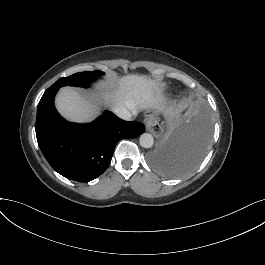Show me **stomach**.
<instances>
[{
	"label": "stomach",
	"instance_id": "obj_1",
	"mask_svg": "<svg viewBox=\"0 0 265 265\" xmlns=\"http://www.w3.org/2000/svg\"><path fill=\"white\" fill-rule=\"evenodd\" d=\"M176 118H177V115L172 113L167 116V121L168 123L172 124L175 122Z\"/></svg>",
	"mask_w": 265,
	"mask_h": 265
}]
</instances>
